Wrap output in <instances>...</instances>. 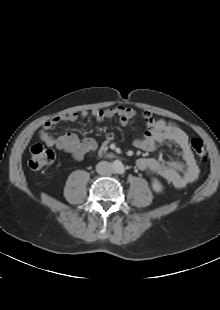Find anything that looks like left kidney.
<instances>
[{
	"mask_svg": "<svg viewBox=\"0 0 220 310\" xmlns=\"http://www.w3.org/2000/svg\"><path fill=\"white\" fill-rule=\"evenodd\" d=\"M152 187H153V190L156 192H161L163 190L162 184L157 179H153Z\"/></svg>",
	"mask_w": 220,
	"mask_h": 310,
	"instance_id": "obj_1",
	"label": "left kidney"
}]
</instances>
